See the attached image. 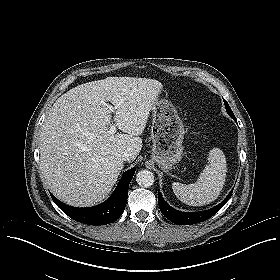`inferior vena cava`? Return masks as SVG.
Returning <instances> with one entry per match:
<instances>
[{"mask_svg": "<svg viewBox=\"0 0 280 280\" xmlns=\"http://www.w3.org/2000/svg\"><path fill=\"white\" fill-rule=\"evenodd\" d=\"M122 161H130L131 155L128 152H124L121 156Z\"/></svg>", "mask_w": 280, "mask_h": 280, "instance_id": "1", "label": "inferior vena cava"}]
</instances>
